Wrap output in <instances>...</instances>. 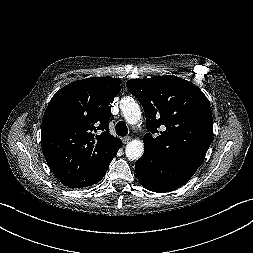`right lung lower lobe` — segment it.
I'll list each match as a JSON object with an SVG mask.
<instances>
[{
    "label": "right lung lower lobe",
    "mask_w": 253,
    "mask_h": 253,
    "mask_svg": "<svg viewBox=\"0 0 253 253\" xmlns=\"http://www.w3.org/2000/svg\"><path fill=\"white\" fill-rule=\"evenodd\" d=\"M109 164L106 167H104L101 171L91 174L84 179H67V180H60V181L64 185L68 187H72V188H82V187L92 186L93 184L98 183L103 178V176L105 175V172L109 168Z\"/></svg>",
    "instance_id": "98d812e1"
}]
</instances>
